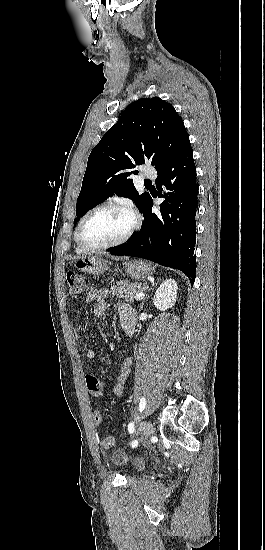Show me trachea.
I'll return each instance as SVG.
<instances>
[{"instance_id": "trachea-1", "label": "trachea", "mask_w": 265, "mask_h": 550, "mask_svg": "<svg viewBox=\"0 0 265 550\" xmlns=\"http://www.w3.org/2000/svg\"><path fill=\"white\" fill-rule=\"evenodd\" d=\"M145 182H146L147 184H150V183H151L149 180H146Z\"/></svg>"}]
</instances>
